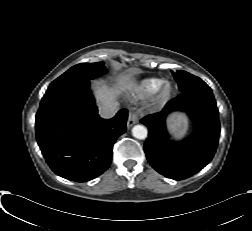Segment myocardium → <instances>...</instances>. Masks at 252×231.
<instances>
[{
  "label": "myocardium",
  "instance_id": "f54148a6",
  "mask_svg": "<svg viewBox=\"0 0 252 231\" xmlns=\"http://www.w3.org/2000/svg\"><path fill=\"white\" fill-rule=\"evenodd\" d=\"M174 93V85L169 80H163L158 90L155 92V103L164 105L167 103Z\"/></svg>",
  "mask_w": 252,
  "mask_h": 231
}]
</instances>
